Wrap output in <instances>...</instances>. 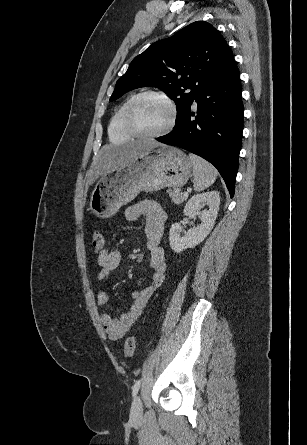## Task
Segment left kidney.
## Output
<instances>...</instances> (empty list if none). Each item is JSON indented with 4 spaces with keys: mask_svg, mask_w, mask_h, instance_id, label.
I'll use <instances>...</instances> for the list:
<instances>
[{
    "mask_svg": "<svg viewBox=\"0 0 307 445\" xmlns=\"http://www.w3.org/2000/svg\"><path fill=\"white\" fill-rule=\"evenodd\" d=\"M207 202L209 204V210H202L200 212L201 204ZM220 204V196L218 190H211V192H202V194H194L189 198L185 204L184 214H192L198 210V214L202 220L199 227L184 231V227H181L179 223L172 225L170 229L169 241L170 247L175 253H182L184 249H193L199 243H202L209 235L211 229L214 227L218 208ZM184 233V235H181Z\"/></svg>",
    "mask_w": 307,
    "mask_h": 445,
    "instance_id": "5707ae66",
    "label": "left kidney"
}]
</instances>
